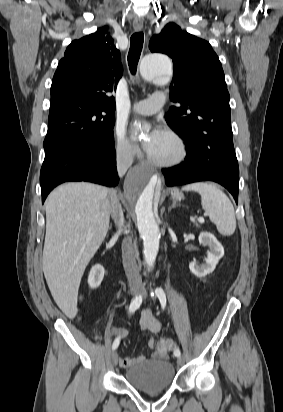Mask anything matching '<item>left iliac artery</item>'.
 <instances>
[{
	"mask_svg": "<svg viewBox=\"0 0 283 412\" xmlns=\"http://www.w3.org/2000/svg\"><path fill=\"white\" fill-rule=\"evenodd\" d=\"M151 296L152 297L156 296L159 299L161 307L164 310L165 307H166V295H165L163 289L160 288V287H157L154 291H151ZM174 355L176 357H179L181 355V352H180L179 348H176L174 350Z\"/></svg>",
	"mask_w": 283,
	"mask_h": 412,
	"instance_id": "1",
	"label": "left iliac artery"
}]
</instances>
